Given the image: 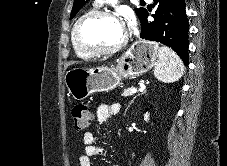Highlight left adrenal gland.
<instances>
[{
  "instance_id": "obj_1",
  "label": "left adrenal gland",
  "mask_w": 227,
  "mask_h": 166,
  "mask_svg": "<svg viewBox=\"0 0 227 166\" xmlns=\"http://www.w3.org/2000/svg\"><path fill=\"white\" fill-rule=\"evenodd\" d=\"M144 93H146V91H144L143 94H144ZM135 98H136V97H134V98L130 101V103H129L127 109H128V108L130 107V105L133 103V101H134ZM127 109H126V111H127Z\"/></svg>"
}]
</instances>
